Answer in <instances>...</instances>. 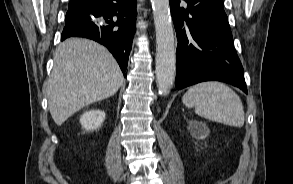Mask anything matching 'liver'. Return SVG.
Returning a JSON list of instances; mask_svg holds the SVG:
<instances>
[{
	"mask_svg": "<svg viewBox=\"0 0 293 184\" xmlns=\"http://www.w3.org/2000/svg\"><path fill=\"white\" fill-rule=\"evenodd\" d=\"M123 81L116 60L104 46L89 39H66L55 52L47 85L54 122L60 126L82 108L113 96Z\"/></svg>",
	"mask_w": 293,
	"mask_h": 184,
	"instance_id": "6515ba94",
	"label": "liver"
}]
</instances>
